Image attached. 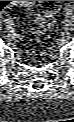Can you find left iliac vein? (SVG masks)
<instances>
[{
    "label": "left iliac vein",
    "mask_w": 74,
    "mask_h": 122,
    "mask_svg": "<svg viewBox=\"0 0 74 122\" xmlns=\"http://www.w3.org/2000/svg\"><path fill=\"white\" fill-rule=\"evenodd\" d=\"M72 27H73V24H72V23H67V24L65 25V29H66V30H70V29H72Z\"/></svg>",
    "instance_id": "4c4485c4"
}]
</instances>
